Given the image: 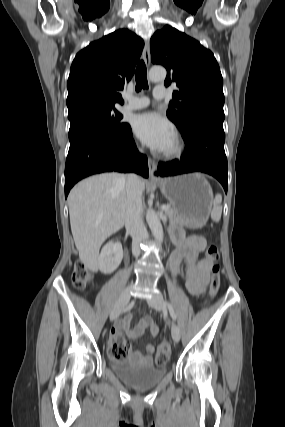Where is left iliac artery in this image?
Wrapping results in <instances>:
<instances>
[{"mask_svg":"<svg viewBox=\"0 0 285 427\" xmlns=\"http://www.w3.org/2000/svg\"><path fill=\"white\" fill-rule=\"evenodd\" d=\"M166 304H167V307H168V309H169V312H170L171 317H172L174 320H176L177 316H176V313H175V311H174V309H173V306H172V305H171V303H169V302H167Z\"/></svg>","mask_w":285,"mask_h":427,"instance_id":"obj_1","label":"left iliac artery"}]
</instances>
